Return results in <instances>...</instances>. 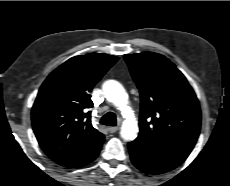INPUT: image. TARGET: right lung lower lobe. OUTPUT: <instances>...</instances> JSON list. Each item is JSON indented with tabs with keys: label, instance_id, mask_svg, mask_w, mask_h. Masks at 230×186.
<instances>
[{
	"label": "right lung lower lobe",
	"instance_id": "1",
	"mask_svg": "<svg viewBox=\"0 0 230 186\" xmlns=\"http://www.w3.org/2000/svg\"><path fill=\"white\" fill-rule=\"evenodd\" d=\"M100 151V150H99ZM99 151H97L89 160H87L82 166L92 162L98 155ZM81 167V166H80Z\"/></svg>",
	"mask_w": 230,
	"mask_h": 186
}]
</instances>
